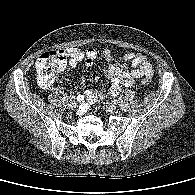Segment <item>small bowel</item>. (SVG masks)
Listing matches in <instances>:
<instances>
[{
	"label": "small bowel",
	"instance_id": "1",
	"mask_svg": "<svg viewBox=\"0 0 195 195\" xmlns=\"http://www.w3.org/2000/svg\"><path fill=\"white\" fill-rule=\"evenodd\" d=\"M59 54L68 58L70 67L75 68L82 60H85L87 66H92L97 59V51L88 49L83 51L78 47H69L61 50ZM104 59L107 63L105 75L110 82L108 92L88 90L79 95L78 99L82 102L80 113L85 112L89 106L103 100L108 95H118L123 88L131 86L134 81L141 77L151 78L154 70L152 63L146 56L140 53H126L123 56L124 61L130 62L133 69H128L125 63H115L114 56L109 49L103 51ZM85 76L80 77V82H85Z\"/></svg>",
	"mask_w": 195,
	"mask_h": 195
}]
</instances>
